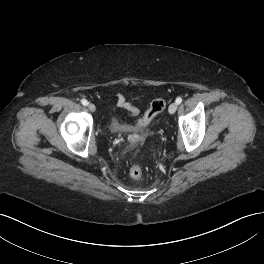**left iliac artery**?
Wrapping results in <instances>:
<instances>
[{
	"instance_id": "obj_1",
	"label": "left iliac artery",
	"mask_w": 264,
	"mask_h": 264,
	"mask_svg": "<svg viewBox=\"0 0 264 264\" xmlns=\"http://www.w3.org/2000/svg\"><path fill=\"white\" fill-rule=\"evenodd\" d=\"M182 102V98L181 97H178L177 99H176V103L177 104H180Z\"/></svg>"
}]
</instances>
